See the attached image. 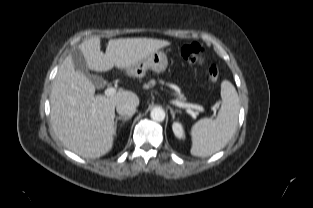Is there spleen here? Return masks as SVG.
<instances>
[{"instance_id":"spleen-1","label":"spleen","mask_w":313,"mask_h":208,"mask_svg":"<svg viewBox=\"0 0 313 208\" xmlns=\"http://www.w3.org/2000/svg\"><path fill=\"white\" fill-rule=\"evenodd\" d=\"M222 104L215 120L203 118L191 129V154L210 156L226 146L236 132L240 102L237 91L228 80L221 83Z\"/></svg>"}]
</instances>
